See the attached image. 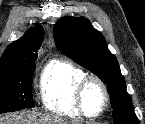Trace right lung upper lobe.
I'll return each mask as SVG.
<instances>
[{
  "instance_id": "obj_1",
  "label": "right lung upper lobe",
  "mask_w": 145,
  "mask_h": 124,
  "mask_svg": "<svg viewBox=\"0 0 145 124\" xmlns=\"http://www.w3.org/2000/svg\"><path fill=\"white\" fill-rule=\"evenodd\" d=\"M43 39L44 29L36 23L35 28L7 47L0 59V72L17 70L35 63Z\"/></svg>"
}]
</instances>
